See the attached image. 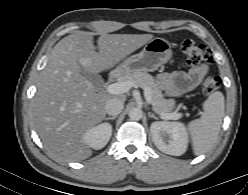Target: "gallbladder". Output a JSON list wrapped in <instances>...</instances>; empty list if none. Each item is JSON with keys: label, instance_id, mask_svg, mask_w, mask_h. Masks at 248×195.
Returning <instances> with one entry per match:
<instances>
[{"label": "gallbladder", "instance_id": "gallbladder-1", "mask_svg": "<svg viewBox=\"0 0 248 195\" xmlns=\"http://www.w3.org/2000/svg\"><path fill=\"white\" fill-rule=\"evenodd\" d=\"M81 73L84 77H86L95 88H100L103 84L102 77L97 73H91L87 71L83 66H80Z\"/></svg>", "mask_w": 248, "mask_h": 195}]
</instances>
